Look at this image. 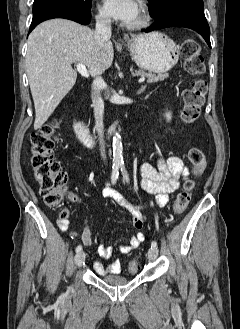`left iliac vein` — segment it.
Masks as SVG:
<instances>
[{"instance_id": "left-iliac-vein-1", "label": "left iliac vein", "mask_w": 240, "mask_h": 329, "mask_svg": "<svg viewBox=\"0 0 240 329\" xmlns=\"http://www.w3.org/2000/svg\"><path fill=\"white\" fill-rule=\"evenodd\" d=\"M158 256V250L157 249H149L148 250V259L153 261L157 258Z\"/></svg>"}]
</instances>
